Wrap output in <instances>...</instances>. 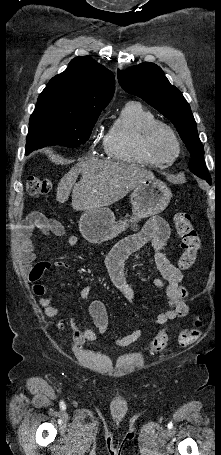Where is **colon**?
<instances>
[{
	"mask_svg": "<svg viewBox=\"0 0 221 455\" xmlns=\"http://www.w3.org/2000/svg\"><path fill=\"white\" fill-rule=\"evenodd\" d=\"M26 190L29 195L33 197H42L51 194L54 191V187L52 182L48 179L29 177L26 180ZM174 225L180 237L182 247L179 265L182 269H189L196 261L200 249V239L189 214H176L174 217ZM200 328L201 322L195 320V327L181 332L178 337V342L183 346L194 344L201 336ZM168 343V332L166 330H161L155 335L149 348L152 352H160L167 347Z\"/></svg>",
	"mask_w": 221,
	"mask_h": 455,
	"instance_id": "obj_1",
	"label": "colon"
}]
</instances>
